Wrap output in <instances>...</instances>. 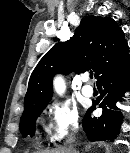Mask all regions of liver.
Segmentation results:
<instances>
[{"mask_svg":"<svg viewBox=\"0 0 130 153\" xmlns=\"http://www.w3.org/2000/svg\"><path fill=\"white\" fill-rule=\"evenodd\" d=\"M91 149V144H87L85 146V151H89ZM42 153H75L73 150H68L66 148H58V149H53V150H46L43 151Z\"/></svg>","mask_w":130,"mask_h":153,"instance_id":"6515ba94","label":"liver"}]
</instances>
